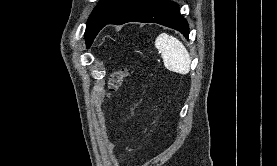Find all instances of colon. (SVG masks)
Listing matches in <instances>:
<instances>
[{
    "mask_svg": "<svg viewBox=\"0 0 277 166\" xmlns=\"http://www.w3.org/2000/svg\"><path fill=\"white\" fill-rule=\"evenodd\" d=\"M128 74V70L125 68L114 71L108 80V90L110 93L116 92L122 85Z\"/></svg>",
    "mask_w": 277,
    "mask_h": 166,
    "instance_id": "colon-1",
    "label": "colon"
}]
</instances>
